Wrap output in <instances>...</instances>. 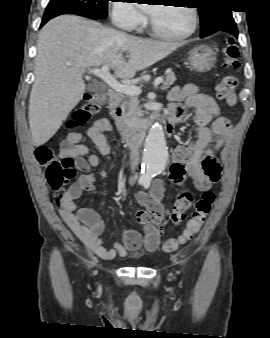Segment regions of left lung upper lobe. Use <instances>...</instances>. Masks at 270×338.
I'll return each instance as SVG.
<instances>
[{"mask_svg":"<svg viewBox=\"0 0 270 338\" xmlns=\"http://www.w3.org/2000/svg\"><path fill=\"white\" fill-rule=\"evenodd\" d=\"M228 0H199L198 11L201 20V37H206L230 23H233Z\"/></svg>","mask_w":270,"mask_h":338,"instance_id":"5c2ea615","label":"left lung upper lobe"}]
</instances>
